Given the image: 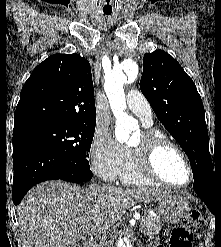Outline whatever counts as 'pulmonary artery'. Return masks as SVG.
Here are the masks:
<instances>
[{
  "mask_svg": "<svg viewBox=\"0 0 221 247\" xmlns=\"http://www.w3.org/2000/svg\"><path fill=\"white\" fill-rule=\"evenodd\" d=\"M127 108L135 114L144 126L152 125V110L147 99L137 90H130L126 97Z\"/></svg>",
  "mask_w": 221,
  "mask_h": 247,
  "instance_id": "pulmonary-artery-1",
  "label": "pulmonary artery"
}]
</instances>
